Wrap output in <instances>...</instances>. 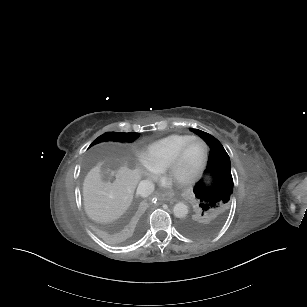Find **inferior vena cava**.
<instances>
[{
    "label": "inferior vena cava",
    "instance_id": "602c4592",
    "mask_svg": "<svg viewBox=\"0 0 307 307\" xmlns=\"http://www.w3.org/2000/svg\"><path fill=\"white\" fill-rule=\"evenodd\" d=\"M155 190L154 185L148 180H142L137 187V194L143 198L151 195Z\"/></svg>",
    "mask_w": 307,
    "mask_h": 307
}]
</instances>
